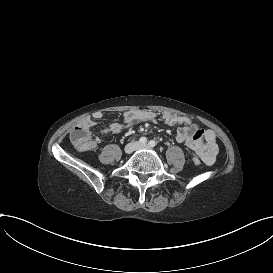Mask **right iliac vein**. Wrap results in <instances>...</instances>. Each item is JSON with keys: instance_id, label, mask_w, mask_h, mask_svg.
<instances>
[{"instance_id": "1", "label": "right iliac vein", "mask_w": 273, "mask_h": 273, "mask_svg": "<svg viewBox=\"0 0 273 273\" xmlns=\"http://www.w3.org/2000/svg\"><path fill=\"white\" fill-rule=\"evenodd\" d=\"M138 146H139L138 142H131L126 145L125 152L127 154H131L134 150H136V148H138Z\"/></svg>"}]
</instances>
